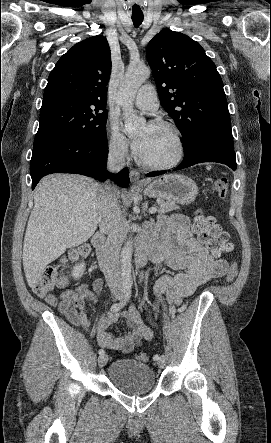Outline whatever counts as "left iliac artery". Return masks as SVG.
Masks as SVG:
<instances>
[{"label": "left iliac artery", "mask_w": 271, "mask_h": 443, "mask_svg": "<svg viewBox=\"0 0 271 443\" xmlns=\"http://www.w3.org/2000/svg\"><path fill=\"white\" fill-rule=\"evenodd\" d=\"M159 358H160V355H159V354H155V355L153 356V360H155V361L159 360Z\"/></svg>", "instance_id": "44dca946"}]
</instances>
